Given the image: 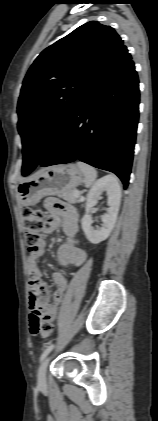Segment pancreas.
Returning <instances> with one entry per match:
<instances>
[{
  "label": "pancreas",
  "mask_w": 158,
  "mask_h": 421,
  "mask_svg": "<svg viewBox=\"0 0 158 421\" xmlns=\"http://www.w3.org/2000/svg\"><path fill=\"white\" fill-rule=\"evenodd\" d=\"M74 191L75 190L67 191V192L62 194V197L70 203L82 202L84 199L81 196L76 197L74 195Z\"/></svg>",
  "instance_id": "1"
}]
</instances>
